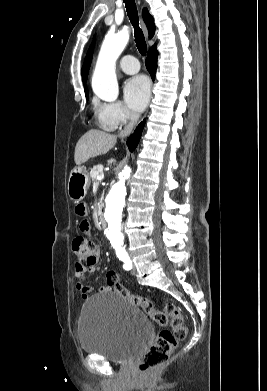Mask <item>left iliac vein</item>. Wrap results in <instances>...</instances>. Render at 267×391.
Instances as JSON below:
<instances>
[{"instance_id":"obj_1","label":"left iliac vein","mask_w":267,"mask_h":391,"mask_svg":"<svg viewBox=\"0 0 267 391\" xmlns=\"http://www.w3.org/2000/svg\"><path fill=\"white\" fill-rule=\"evenodd\" d=\"M131 274H132V275H135V274H136V267H135L134 264H133V267H132V270H131Z\"/></svg>"}]
</instances>
